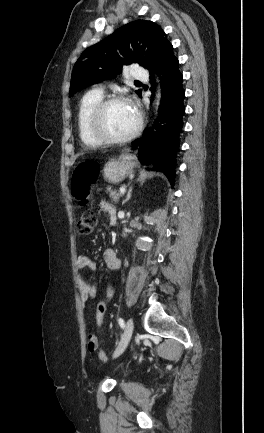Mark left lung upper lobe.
I'll return each mask as SVG.
<instances>
[{"label":"left lung upper lobe","mask_w":264,"mask_h":433,"mask_svg":"<svg viewBox=\"0 0 264 433\" xmlns=\"http://www.w3.org/2000/svg\"><path fill=\"white\" fill-rule=\"evenodd\" d=\"M172 51L173 46L160 26L145 20L130 22L83 52L73 68L70 96L92 84L115 78L124 64L138 63L153 70ZM141 92L136 91L139 96Z\"/></svg>","instance_id":"obj_1"}]
</instances>
